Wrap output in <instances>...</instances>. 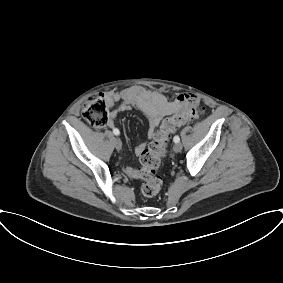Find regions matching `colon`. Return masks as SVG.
<instances>
[{
	"label": "colon",
	"mask_w": 283,
	"mask_h": 283,
	"mask_svg": "<svg viewBox=\"0 0 283 283\" xmlns=\"http://www.w3.org/2000/svg\"><path fill=\"white\" fill-rule=\"evenodd\" d=\"M203 113L202 106L190 101L181 111L163 121L153 141L141 152L138 176L141 180V192L145 197L156 196L162 187V179L157 174V169L166 154V145L171 134L186 122L201 117ZM82 116L94 128L105 127L110 116L105 98L99 95L88 97L82 107Z\"/></svg>",
	"instance_id": "1"
}]
</instances>
